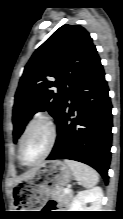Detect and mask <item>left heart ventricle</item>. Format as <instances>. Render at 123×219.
<instances>
[{"mask_svg":"<svg viewBox=\"0 0 123 219\" xmlns=\"http://www.w3.org/2000/svg\"><path fill=\"white\" fill-rule=\"evenodd\" d=\"M49 140V133L45 126H35L26 136L23 147L22 157L25 162H36L44 154Z\"/></svg>","mask_w":123,"mask_h":219,"instance_id":"obj_1","label":"left heart ventricle"}]
</instances>
